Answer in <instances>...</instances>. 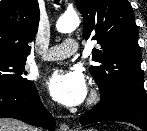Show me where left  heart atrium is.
I'll return each instance as SVG.
<instances>
[{
    "label": "left heart atrium",
    "instance_id": "1",
    "mask_svg": "<svg viewBox=\"0 0 147 131\" xmlns=\"http://www.w3.org/2000/svg\"><path fill=\"white\" fill-rule=\"evenodd\" d=\"M51 96L65 106L80 105L87 97L88 85L84 74L76 69H59L46 81Z\"/></svg>",
    "mask_w": 147,
    "mask_h": 131
}]
</instances>
